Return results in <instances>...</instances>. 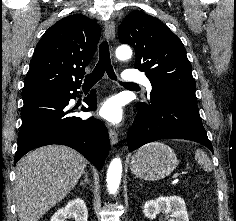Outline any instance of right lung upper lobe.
Wrapping results in <instances>:
<instances>
[{
	"mask_svg": "<svg viewBox=\"0 0 236 221\" xmlns=\"http://www.w3.org/2000/svg\"><path fill=\"white\" fill-rule=\"evenodd\" d=\"M100 34L99 25L81 14L51 26L36 46L22 94L80 85Z\"/></svg>",
	"mask_w": 236,
	"mask_h": 221,
	"instance_id": "right-lung-upper-lobe-1",
	"label": "right lung upper lobe"
}]
</instances>
